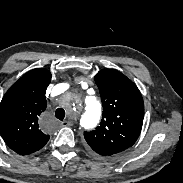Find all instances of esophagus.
Segmentation results:
<instances>
[{
    "instance_id": "obj_1",
    "label": "esophagus",
    "mask_w": 183,
    "mask_h": 183,
    "mask_svg": "<svg viewBox=\"0 0 183 183\" xmlns=\"http://www.w3.org/2000/svg\"><path fill=\"white\" fill-rule=\"evenodd\" d=\"M71 125H72V122L67 121V120L61 122V126H62V127H67V126H71Z\"/></svg>"
}]
</instances>
